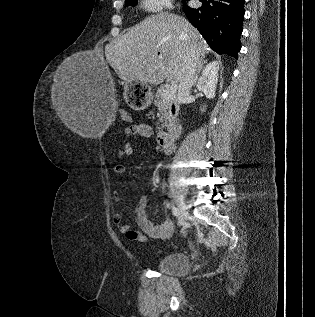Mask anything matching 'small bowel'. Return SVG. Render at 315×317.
<instances>
[{"instance_id": "c3829d8e", "label": "small bowel", "mask_w": 315, "mask_h": 317, "mask_svg": "<svg viewBox=\"0 0 315 317\" xmlns=\"http://www.w3.org/2000/svg\"><path fill=\"white\" fill-rule=\"evenodd\" d=\"M126 136H141L144 138H152L154 131L146 123H136L127 127L124 131ZM135 148L131 143L123 144L119 150L120 157H129L133 155ZM125 166L118 164L113 167V173L121 175L125 173ZM113 197L116 201H120L122 196L119 192H114ZM135 222L140 231L133 230L129 224L123 222L122 215L115 213L112 217L113 224L119 233L123 234L128 240L144 243L147 236L153 239H166L169 238L173 231V223L169 216H165L162 223L154 224L149 220L146 213V198H141L134 211Z\"/></svg>"}]
</instances>
